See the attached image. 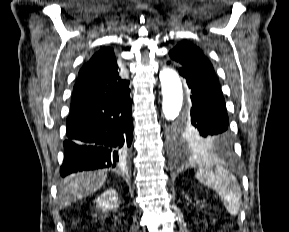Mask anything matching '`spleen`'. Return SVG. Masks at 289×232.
I'll list each match as a JSON object with an SVG mask.
<instances>
[{
    "label": "spleen",
    "instance_id": "3e777b00",
    "mask_svg": "<svg viewBox=\"0 0 289 232\" xmlns=\"http://www.w3.org/2000/svg\"><path fill=\"white\" fill-rule=\"evenodd\" d=\"M198 181L216 191L226 210L237 215L242 205V192L237 178L223 166L201 164L196 173Z\"/></svg>",
    "mask_w": 289,
    "mask_h": 232
}]
</instances>
